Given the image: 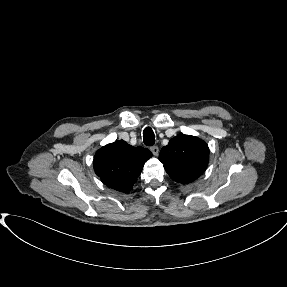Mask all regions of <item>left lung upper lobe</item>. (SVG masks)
<instances>
[{"mask_svg":"<svg viewBox=\"0 0 287 287\" xmlns=\"http://www.w3.org/2000/svg\"><path fill=\"white\" fill-rule=\"evenodd\" d=\"M159 160L174 181L188 184L205 171L209 160L208 145L198 137L181 134L161 149Z\"/></svg>","mask_w":287,"mask_h":287,"instance_id":"left-lung-upper-lobe-1","label":"left lung upper lobe"}]
</instances>
